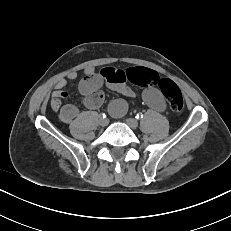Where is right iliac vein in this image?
<instances>
[{"label":"right iliac vein","mask_w":231,"mask_h":231,"mask_svg":"<svg viewBox=\"0 0 231 231\" xmlns=\"http://www.w3.org/2000/svg\"><path fill=\"white\" fill-rule=\"evenodd\" d=\"M99 125L102 126V127L107 126L108 125V120L101 117L99 119Z\"/></svg>","instance_id":"right-iliac-vein-1"}]
</instances>
